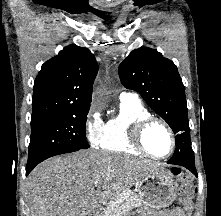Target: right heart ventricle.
Listing matches in <instances>:
<instances>
[{"mask_svg":"<svg viewBox=\"0 0 221 216\" xmlns=\"http://www.w3.org/2000/svg\"><path fill=\"white\" fill-rule=\"evenodd\" d=\"M149 116L151 113L140 100H121L118 113L104 123L99 146L108 152L140 155L131 143L130 133L138 121Z\"/></svg>","mask_w":221,"mask_h":216,"instance_id":"right-heart-ventricle-1","label":"right heart ventricle"}]
</instances>
